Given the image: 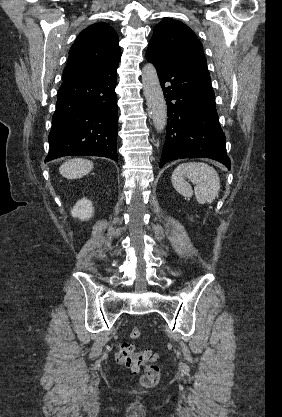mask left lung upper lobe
I'll return each instance as SVG.
<instances>
[{"label": "left lung upper lobe", "mask_w": 282, "mask_h": 417, "mask_svg": "<svg viewBox=\"0 0 282 417\" xmlns=\"http://www.w3.org/2000/svg\"><path fill=\"white\" fill-rule=\"evenodd\" d=\"M149 46L170 55L206 60L195 33L182 22L170 18H164L155 26Z\"/></svg>", "instance_id": "left-lung-upper-lobe-1"}]
</instances>
